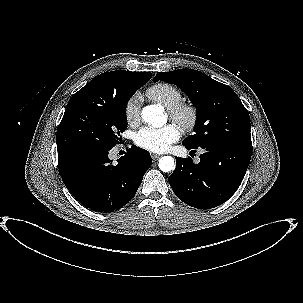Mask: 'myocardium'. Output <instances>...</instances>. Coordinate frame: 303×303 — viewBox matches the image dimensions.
<instances>
[{"label": "myocardium", "mask_w": 303, "mask_h": 303, "mask_svg": "<svg viewBox=\"0 0 303 303\" xmlns=\"http://www.w3.org/2000/svg\"><path fill=\"white\" fill-rule=\"evenodd\" d=\"M168 115L171 120L176 122L186 131H191L196 126L198 120L197 109L187 103H180L168 109Z\"/></svg>", "instance_id": "f54148a6"}]
</instances>
